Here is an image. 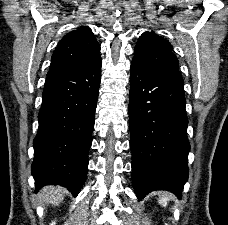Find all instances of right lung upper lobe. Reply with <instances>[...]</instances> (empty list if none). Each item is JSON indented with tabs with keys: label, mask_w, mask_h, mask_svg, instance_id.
<instances>
[{
	"label": "right lung upper lobe",
	"mask_w": 228,
	"mask_h": 225,
	"mask_svg": "<svg viewBox=\"0 0 228 225\" xmlns=\"http://www.w3.org/2000/svg\"><path fill=\"white\" fill-rule=\"evenodd\" d=\"M100 45L91 29L82 26L69 32L58 43L47 75L78 68L99 57Z\"/></svg>",
	"instance_id": "1"
}]
</instances>
